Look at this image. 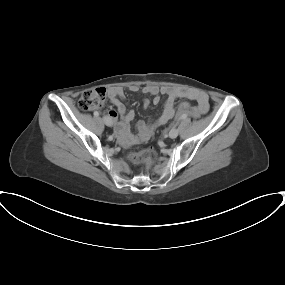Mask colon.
Instances as JSON below:
<instances>
[{"label":"colon","mask_w":285,"mask_h":285,"mask_svg":"<svg viewBox=\"0 0 285 285\" xmlns=\"http://www.w3.org/2000/svg\"><path fill=\"white\" fill-rule=\"evenodd\" d=\"M106 96V90L103 88L84 91L78 102L79 107L84 111L99 109L104 106ZM183 112L194 118H199L202 115V111L199 107H188L184 109ZM156 157L157 155L153 148L141 149L130 154V158L133 162L142 164L146 168H149L155 162Z\"/></svg>","instance_id":"1"}]
</instances>
